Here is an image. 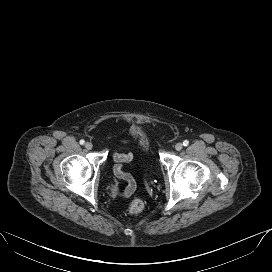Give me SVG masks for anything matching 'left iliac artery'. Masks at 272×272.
<instances>
[{
	"label": "left iliac artery",
	"mask_w": 272,
	"mask_h": 272,
	"mask_svg": "<svg viewBox=\"0 0 272 272\" xmlns=\"http://www.w3.org/2000/svg\"><path fill=\"white\" fill-rule=\"evenodd\" d=\"M183 145H184V146H188V145H189V141H188V140H184V141H183Z\"/></svg>",
	"instance_id": "obj_1"
}]
</instances>
